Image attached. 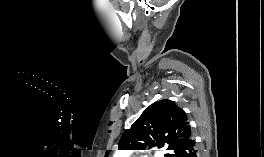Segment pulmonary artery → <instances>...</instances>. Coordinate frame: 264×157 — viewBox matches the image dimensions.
<instances>
[{
  "label": "pulmonary artery",
  "instance_id": "e3ab8cb5",
  "mask_svg": "<svg viewBox=\"0 0 264 157\" xmlns=\"http://www.w3.org/2000/svg\"><path fill=\"white\" fill-rule=\"evenodd\" d=\"M121 154L124 155L125 157H127L129 153H128V151H123V152H121Z\"/></svg>",
  "mask_w": 264,
  "mask_h": 157
}]
</instances>
